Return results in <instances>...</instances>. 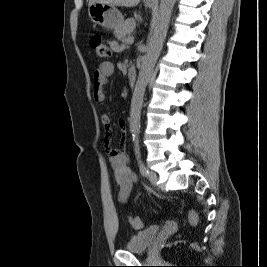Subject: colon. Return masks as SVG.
Returning a JSON list of instances; mask_svg holds the SVG:
<instances>
[{"label":"colon","mask_w":267,"mask_h":267,"mask_svg":"<svg viewBox=\"0 0 267 267\" xmlns=\"http://www.w3.org/2000/svg\"><path fill=\"white\" fill-rule=\"evenodd\" d=\"M90 44L92 48L94 49L97 56L100 58H106L109 57L111 54L110 47L101 39L99 36L92 37ZM189 221L192 224H196L198 221V216L194 211H191L189 213ZM130 222L133 228L135 229H141L143 227V221L138 216H133L130 218Z\"/></svg>","instance_id":"1"}]
</instances>
